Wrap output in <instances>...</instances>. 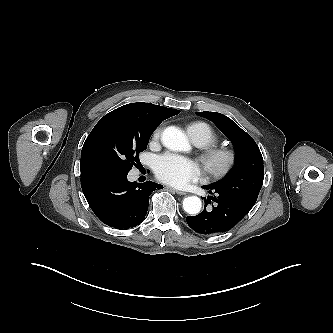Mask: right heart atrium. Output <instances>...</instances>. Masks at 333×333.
<instances>
[{
	"label": "right heart atrium",
	"instance_id": "1",
	"mask_svg": "<svg viewBox=\"0 0 333 333\" xmlns=\"http://www.w3.org/2000/svg\"><path fill=\"white\" fill-rule=\"evenodd\" d=\"M161 135V128H157L153 133V140H158Z\"/></svg>",
	"mask_w": 333,
	"mask_h": 333
}]
</instances>
